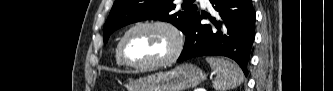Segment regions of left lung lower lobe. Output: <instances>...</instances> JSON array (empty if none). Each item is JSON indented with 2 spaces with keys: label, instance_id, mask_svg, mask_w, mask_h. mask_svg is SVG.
Returning <instances> with one entry per match:
<instances>
[{
  "label": "left lung lower lobe",
  "instance_id": "obj_1",
  "mask_svg": "<svg viewBox=\"0 0 333 91\" xmlns=\"http://www.w3.org/2000/svg\"><path fill=\"white\" fill-rule=\"evenodd\" d=\"M218 12L202 25L197 12L185 32L186 40L177 62L198 56L220 55L235 60L247 75V64L255 38L256 14L251 0H209ZM206 18V17H205Z\"/></svg>",
  "mask_w": 333,
  "mask_h": 91
}]
</instances>
